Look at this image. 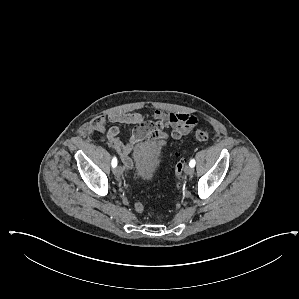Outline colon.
Here are the masks:
<instances>
[{"instance_id": "1", "label": "colon", "mask_w": 299, "mask_h": 299, "mask_svg": "<svg viewBox=\"0 0 299 299\" xmlns=\"http://www.w3.org/2000/svg\"><path fill=\"white\" fill-rule=\"evenodd\" d=\"M94 127L98 132L106 131V125L103 120L96 121L94 124ZM195 137L197 138V140L202 141V142L208 141L210 138L209 133L203 129L196 130ZM183 169H184L183 162H179L176 164V166H175V179H176L175 188H176V190H179L181 188L180 179L182 177ZM134 208L139 213H142L144 211V205L141 202H136L134 205Z\"/></svg>"}]
</instances>
